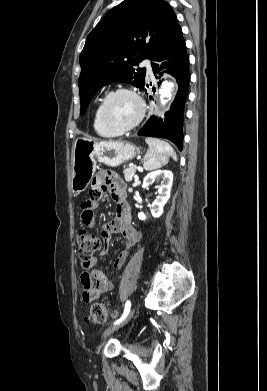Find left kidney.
<instances>
[{
	"mask_svg": "<svg viewBox=\"0 0 267 391\" xmlns=\"http://www.w3.org/2000/svg\"><path fill=\"white\" fill-rule=\"evenodd\" d=\"M153 181H160L158 186V196L152 203L150 211L154 218H159L163 214V208L170 198L171 188L173 184V174L169 170H157L146 175L143 181V188H147ZM140 220H145L146 216L143 212L138 213Z\"/></svg>",
	"mask_w": 267,
	"mask_h": 391,
	"instance_id": "left-kidney-1",
	"label": "left kidney"
}]
</instances>
